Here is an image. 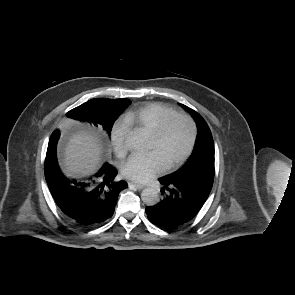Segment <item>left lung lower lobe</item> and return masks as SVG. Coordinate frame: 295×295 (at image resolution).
<instances>
[{
  "label": "left lung lower lobe",
  "mask_w": 295,
  "mask_h": 295,
  "mask_svg": "<svg viewBox=\"0 0 295 295\" xmlns=\"http://www.w3.org/2000/svg\"><path fill=\"white\" fill-rule=\"evenodd\" d=\"M214 177L187 179L164 176L159 179L164 198L154 206L146 207L148 219L164 229H174L190 221L209 196Z\"/></svg>",
  "instance_id": "obj_1"
}]
</instances>
